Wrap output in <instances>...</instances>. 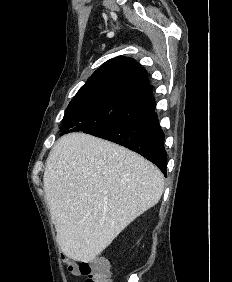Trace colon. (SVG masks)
Listing matches in <instances>:
<instances>
[{
    "label": "colon",
    "mask_w": 232,
    "mask_h": 282,
    "mask_svg": "<svg viewBox=\"0 0 232 282\" xmlns=\"http://www.w3.org/2000/svg\"><path fill=\"white\" fill-rule=\"evenodd\" d=\"M68 269L74 274L85 276V282H112L110 263L105 258L80 263L69 261Z\"/></svg>",
    "instance_id": "obj_1"
}]
</instances>
